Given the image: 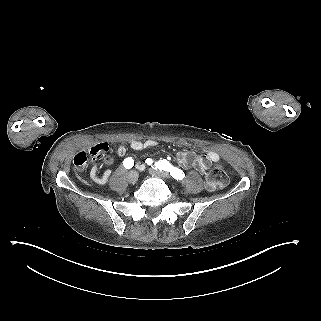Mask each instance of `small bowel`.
Segmentation results:
<instances>
[{
    "label": "small bowel",
    "mask_w": 321,
    "mask_h": 321,
    "mask_svg": "<svg viewBox=\"0 0 321 321\" xmlns=\"http://www.w3.org/2000/svg\"><path fill=\"white\" fill-rule=\"evenodd\" d=\"M130 146L133 150L141 151L148 148H156L158 146V142L152 139H148L145 141L134 140L130 143ZM107 151H108V144L104 141L98 142L82 149L80 152L76 154L75 159H77L78 157H83L86 164L88 155H92L94 157H101ZM116 153L119 156H124L126 154V148L123 145H119L116 148ZM219 158H220L219 154L211 150L203 151L199 155H196L195 153L187 150H182L177 153V160L182 167L186 169L194 168L201 173H205L209 165L212 162L218 161ZM111 162L112 161L107 158L103 161L102 164L109 165L111 164ZM102 164L96 163L91 168V172H90L91 179L97 184L106 183L109 180L111 175L110 169H105L102 175L98 174V169ZM138 168L143 169L144 166L141 164H138Z\"/></svg>",
    "instance_id": "obj_1"
}]
</instances>
